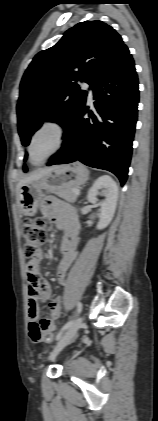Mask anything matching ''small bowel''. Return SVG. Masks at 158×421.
<instances>
[{
	"mask_svg": "<svg viewBox=\"0 0 158 421\" xmlns=\"http://www.w3.org/2000/svg\"><path fill=\"white\" fill-rule=\"evenodd\" d=\"M41 211L63 232L62 256L56 269L57 281L63 283L69 267L77 256L80 229L78 216L72 207L54 197L44 199ZM42 258L43 253L40 251L38 257L27 264L29 331L32 340L35 331L53 334L61 312V299L56 297L49 303L48 315L39 321V302L46 301L51 295L50 284L40 273Z\"/></svg>",
	"mask_w": 158,
	"mask_h": 421,
	"instance_id": "1",
	"label": "small bowel"
}]
</instances>
